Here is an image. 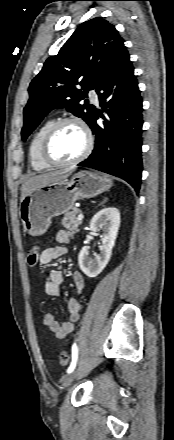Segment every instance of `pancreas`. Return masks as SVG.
I'll return each mask as SVG.
<instances>
[{"label":"pancreas","mask_w":174,"mask_h":440,"mask_svg":"<svg viewBox=\"0 0 174 440\" xmlns=\"http://www.w3.org/2000/svg\"><path fill=\"white\" fill-rule=\"evenodd\" d=\"M80 214V209L74 207L72 211L66 213L62 219V225L69 231L73 233H78L80 231L79 226L81 225V221L77 220L78 215Z\"/></svg>","instance_id":"1"}]
</instances>
